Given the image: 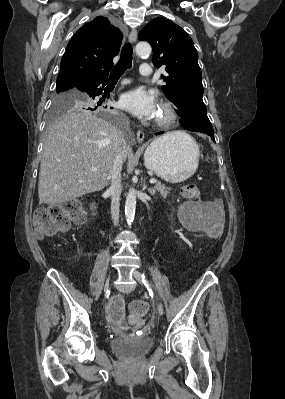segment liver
Wrapping results in <instances>:
<instances>
[{
    "instance_id": "6515ba94",
    "label": "liver",
    "mask_w": 285,
    "mask_h": 399,
    "mask_svg": "<svg viewBox=\"0 0 285 399\" xmlns=\"http://www.w3.org/2000/svg\"><path fill=\"white\" fill-rule=\"evenodd\" d=\"M182 136L183 132L177 131L163 138ZM122 138L115 126L87 111L72 109L56 120L44 142L39 203L61 204L104 189L109 184ZM130 152L126 145L125 158Z\"/></svg>"
}]
</instances>
